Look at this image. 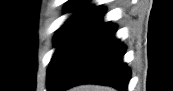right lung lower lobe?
I'll return each instance as SVG.
<instances>
[{
  "label": "right lung lower lobe",
  "instance_id": "right-lung-lower-lobe-1",
  "mask_svg": "<svg viewBox=\"0 0 173 91\" xmlns=\"http://www.w3.org/2000/svg\"><path fill=\"white\" fill-rule=\"evenodd\" d=\"M103 13L82 26L47 79L49 91H62L83 83L126 91L130 68L123 62L126 46L115 38L116 28L102 21Z\"/></svg>",
  "mask_w": 173,
  "mask_h": 91
}]
</instances>
